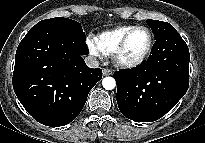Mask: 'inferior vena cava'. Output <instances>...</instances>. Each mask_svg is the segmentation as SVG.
<instances>
[{"label":"inferior vena cava","mask_w":205,"mask_h":143,"mask_svg":"<svg viewBox=\"0 0 205 143\" xmlns=\"http://www.w3.org/2000/svg\"><path fill=\"white\" fill-rule=\"evenodd\" d=\"M85 63L88 67L90 68H98L99 67V61L96 57L94 56H87L85 57Z\"/></svg>","instance_id":"1"}]
</instances>
